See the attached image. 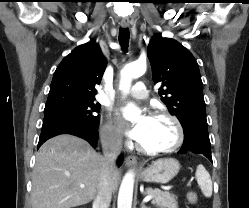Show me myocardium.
Instances as JSON below:
<instances>
[{"label": "myocardium", "mask_w": 249, "mask_h": 208, "mask_svg": "<svg viewBox=\"0 0 249 208\" xmlns=\"http://www.w3.org/2000/svg\"><path fill=\"white\" fill-rule=\"evenodd\" d=\"M151 116L152 117H165L171 120L177 131V139L171 146L166 147V148L151 149V148L143 147L142 145L138 143L136 145L137 149L142 153L150 154V155L170 153L178 149L182 145L184 138H185L184 128H183L181 121L175 115L162 109H157L153 111L151 113Z\"/></svg>", "instance_id": "obj_1"}]
</instances>
